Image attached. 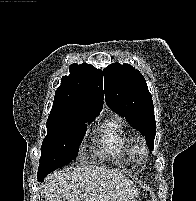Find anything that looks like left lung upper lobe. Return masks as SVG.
Wrapping results in <instances>:
<instances>
[{
  "label": "left lung upper lobe",
  "instance_id": "left-lung-upper-lobe-1",
  "mask_svg": "<svg viewBox=\"0 0 196 201\" xmlns=\"http://www.w3.org/2000/svg\"><path fill=\"white\" fill-rule=\"evenodd\" d=\"M107 105L131 123L154 148L156 121L152 96L142 74L129 64L113 63L103 70Z\"/></svg>",
  "mask_w": 196,
  "mask_h": 201
}]
</instances>
